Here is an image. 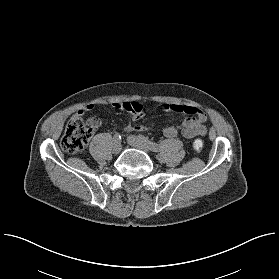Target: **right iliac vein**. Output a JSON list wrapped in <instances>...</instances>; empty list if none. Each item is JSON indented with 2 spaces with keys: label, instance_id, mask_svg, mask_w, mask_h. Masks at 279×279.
Wrapping results in <instances>:
<instances>
[{
  "label": "right iliac vein",
  "instance_id": "obj_1",
  "mask_svg": "<svg viewBox=\"0 0 279 279\" xmlns=\"http://www.w3.org/2000/svg\"><path fill=\"white\" fill-rule=\"evenodd\" d=\"M121 149H122L121 143L118 142V143H115V144L113 145V147H112V152H113L114 154H118V153L121 151Z\"/></svg>",
  "mask_w": 279,
  "mask_h": 279
}]
</instances>
